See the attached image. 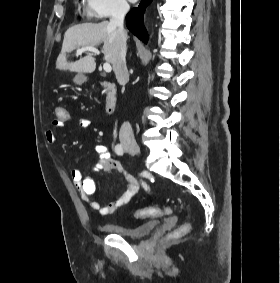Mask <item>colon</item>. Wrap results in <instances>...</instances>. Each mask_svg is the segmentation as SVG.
Here are the masks:
<instances>
[{"instance_id": "1", "label": "colon", "mask_w": 280, "mask_h": 283, "mask_svg": "<svg viewBox=\"0 0 280 283\" xmlns=\"http://www.w3.org/2000/svg\"><path fill=\"white\" fill-rule=\"evenodd\" d=\"M55 119L57 122H69V119H72V114L68 111L67 107L64 105H58L57 108H54ZM168 208H159V207H147L142 208L136 211V217L139 219L157 217L164 214H168ZM191 225L186 222L180 226V228L175 232L176 235L182 236L187 234L190 231Z\"/></svg>"}]
</instances>
